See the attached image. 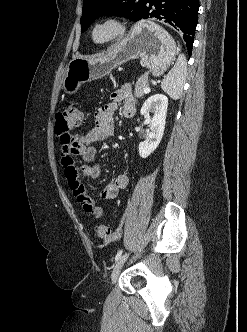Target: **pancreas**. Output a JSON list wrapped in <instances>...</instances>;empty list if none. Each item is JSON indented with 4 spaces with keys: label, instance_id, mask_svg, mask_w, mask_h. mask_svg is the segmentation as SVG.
<instances>
[{
    "label": "pancreas",
    "instance_id": "cf45deb5",
    "mask_svg": "<svg viewBox=\"0 0 247 332\" xmlns=\"http://www.w3.org/2000/svg\"><path fill=\"white\" fill-rule=\"evenodd\" d=\"M148 87V77L147 75L141 76L135 85L134 97L140 98L144 95V89Z\"/></svg>",
    "mask_w": 247,
    "mask_h": 332
}]
</instances>
